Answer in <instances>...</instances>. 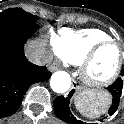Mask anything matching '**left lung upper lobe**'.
<instances>
[{
    "label": "left lung upper lobe",
    "instance_id": "obj_1",
    "mask_svg": "<svg viewBox=\"0 0 124 124\" xmlns=\"http://www.w3.org/2000/svg\"><path fill=\"white\" fill-rule=\"evenodd\" d=\"M121 76H124V71H123V69L121 70Z\"/></svg>",
    "mask_w": 124,
    "mask_h": 124
}]
</instances>
